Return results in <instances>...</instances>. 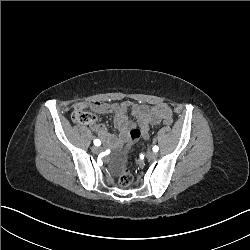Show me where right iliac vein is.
I'll return each instance as SVG.
<instances>
[{
    "mask_svg": "<svg viewBox=\"0 0 250 250\" xmlns=\"http://www.w3.org/2000/svg\"><path fill=\"white\" fill-rule=\"evenodd\" d=\"M91 150H92L93 153L97 154V153H99L102 149H101L100 147L93 146V147L91 148Z\"/></svg>",
    "mask_w": 250,
    "mask_h": 250,
    "instance_id": "1",
    "label": "right iliac vein"
}]
</instances>
